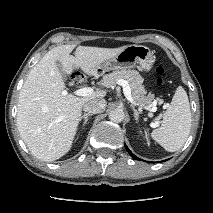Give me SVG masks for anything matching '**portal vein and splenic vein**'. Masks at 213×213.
<instances>
[{
	"label": "portal vein and splenic vein",
	"instance_id": "obj_1",
	"mask_svg": "<svg viewBox=\"0 0 213 213\" xmlns=\"http://www.w3.org/2000/svg\"><path fill=\"white\" fill-rule=\"evenodd\" d=\"M117 84L122 86L123 88V93L125 95V97L127 98V100L132 103L133 105L135 106H139V107H143L144 109L150 111V112H155L157 110L156 108V104L153 103L152 105H148V106H144L142 104H139L137 103L133 97H132V94H131V89H130V86L128 84V82L124 79H119L117 81ZM93 89L91 87H84V88H80V89H77L73 92V95H76V96H80V97H85V96H88V95H91L93 94ZM62 94L63 95H67L68 92L66 90L62 91ZM152 113L149 114V116H151Z\"/></svg>",
	"mask_w": 213,
	"mask_h": 213
}]
</instances>
